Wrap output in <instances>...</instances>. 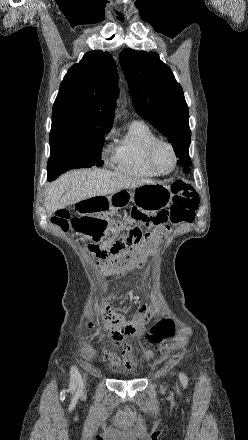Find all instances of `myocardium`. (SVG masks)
Here are the masks:
<instances>
[{"instance_id": "f54148a6", "label": "myocardium", "mask_w": 248, "mask_h": 440, "mask_svg": "<svg viewBox=\"0 0 248 440\" xmlns=\"http://www.w3.org/2000/svg\"><path fill=\"white\" fill-rule=\"evenodd\" d=\"M160 146H165L169 148V150L173 155V159H174L173 166L167 171L160 170L155 163V153ZM145 161L147 166L150 168V170H152L157 175H168L171 174L176 169L178 165L179 157L173 144L165 140L156 139L148 145L145 152Z\"/></svg>"}]
</instances>
